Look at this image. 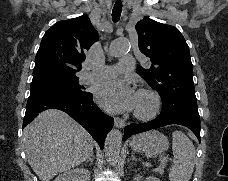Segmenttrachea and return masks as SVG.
Here are the masks:
<instances>
[{
  "label": "trachea",
  "mask_w": 228,
  "mask_h": 181,
  "mask_svg": "<svg viewBox=\"0 0 228 181\" xmlns=\"http://www.w3.org/2000/svg\"><path fill=\"white\" fill-rule=\"evenodd\" d=\"M121 13H122V2L120 0H117L112 10V20L114 23H117L119 21Z\"/></svg>",
  "instance_id": "trachea-1"
}]
</instances>
